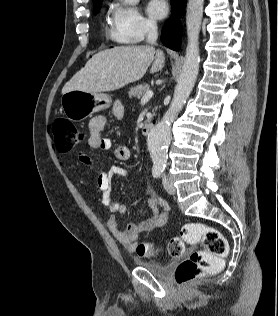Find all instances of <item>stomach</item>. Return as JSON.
Returning a JSON list of instances; mask_svg holds the SVG:
<instances>
[{
    "mask_svg": "<svg viewBox=\"0 0 278 316\" xmlns=\"http://www.w3.org/2000/svg\"><path fill=\"white\" fill-rule=\"evenodd\" d=\"M111 102V97L107 94L74 90L62 95L61 110L69 120L81 121L93 113L109 108Z\"/></svg>",
    "mask_w": 278,
    "mask_h": 316,
    "instance_id": "obj_1",
    "label": "stomach"
}]
</instances>
